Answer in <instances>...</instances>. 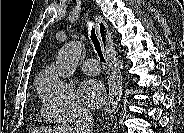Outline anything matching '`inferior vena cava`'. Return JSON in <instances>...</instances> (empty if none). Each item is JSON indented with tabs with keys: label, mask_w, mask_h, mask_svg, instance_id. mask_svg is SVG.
I'll return each instance as SVG.
<instances>
[{
	"label": "inferior vena cava",
	"mask_w": 184,
	"mask_h": 133,
	"mask_svg": "<svg viewBox=\"0 0 184 133\" xmlns=\"http://www.w3.org/2000/svg\"><path fill=\"white\" fill-rule=\"evenodd\" d=\"M91 113L82 106L76 107V122L73 129L74 133H90L92 128Z\"/></svg>",
	"instance_id": "obj_1"
}]
</instances>
